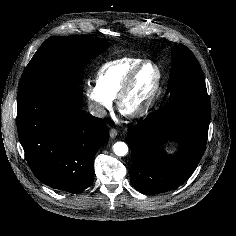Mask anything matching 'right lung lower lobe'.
Listing matches in <instances>:
<instances>
[{
	"mask_svg": "<svg viewBox=\"0 0 236 236\" xmlns=\"http://www.w3.org/2000/svg\"><path fill=\"white\" fill-rule=\"evenodd\" d=\"M17 128L34 175L51 188L78 194L94 177V156L108 141L102 119L82 111V91L51 82L18 91Z\"/></svg>",
	"mask_w": 236,
	"mask_h": 236,
	"instance_id": "right-lung-lower-lobe-1",
	"label": "right lung lower lobe"
}]
</instances>
